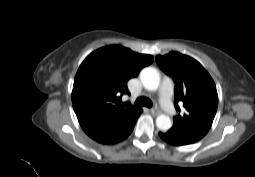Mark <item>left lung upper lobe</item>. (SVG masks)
Segmentation results:
<instances>
[{
  "mask_svg": "<svg viewBox=\"0 0 255 177\" xmlns=\"http://www.w3.org/2000/svg\"><path fill=\"white\" fill-rule=\"evenodd\" d=\"M156 61L175 82L176 110L180 112L179 104L185 108L184 113L174 117L170 130L199 141L209 131L217 111L218 95L213 79L199 62L178 52L158 55Z\"/></svg>",
  "mask_w": 255,
  "mask_h": 177,
  "instance_id": "1",
  "label": "left lung upper lobe"
}]
</instances>
